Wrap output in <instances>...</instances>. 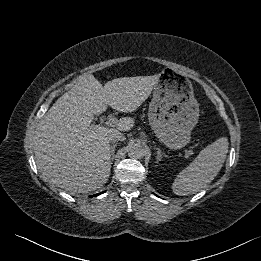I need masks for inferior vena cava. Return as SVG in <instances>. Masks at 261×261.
Instances as JSON below:
<instances>
[{"mask_svg": "<svg viewBox=\"0 0 261 261\" xmlns=\"http://www.w3.org/2000/svg\"><path fill=\"white\" fill-rule=\"evenodd\" d=\"M109 140L114 143L117 141H124L125 136L119 131H114L109 135Z\"/></svg>", "mask_w": 261, "mask_h": 261, "instance_id": "602c4592", "label": "inferior vena cava"}]
</instances>
